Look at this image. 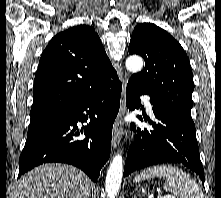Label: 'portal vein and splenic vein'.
Masks as SVG:
<instances>
[{
  "mask_svg": "<svg viewBox=\"0 0 221 198\" xmlns=\"http://www.w3.org/2000/svg\"><path fill=\"white\" fill-rule=\"evenodd\" d=\"M163 198H174L173 196H164Z\"/></svg>",
  "mask_w": 221,
  "mask_h": 198,
  "instance_id": "1",
  "label": "portal vein and splenic vein"
}]
</instances>
